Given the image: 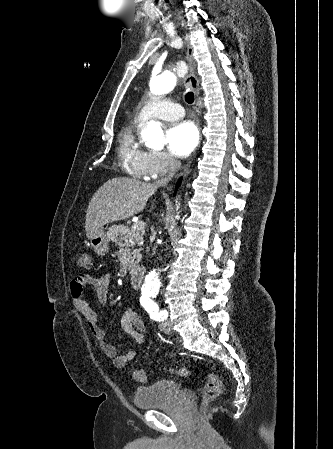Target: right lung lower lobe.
I'll return each instance as SVG.
<instances>
[{"label": "right lung lower lobe", "instance_id": "1", "mask_svg": "<svg viewBox=\"0 0 333 449\" xmlns=\"http://www.w3.org/2000/svg\"><path fill=\"white\" fill-rule=\"evenodd\" d=\"M179 185H180V180L178 181V183H177V187H176V189L179 187Z\"/></svg>", "mask_w": 333, "mask_h": 449}]
</instances>
